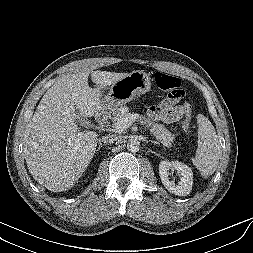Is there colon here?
<instances>
[{"mask_svg": "<svg viewBox=\"0 0 253 253\" xmlns=\"http://www.w3.org/2000/svg\"><path fill=\"white\" fill-rule=\"evenodd\" d=\"M155 83L160 89L165 90V91H169V93H170L169 96H171L173 98L180 99L184 95L181 81L176 76H172V75L166 74L164 72H157L155 74ZM183 106L185 107L186 116H187L190 111V107L187 103H185ZM184 126L186 128L190 127V120L188 117H186V119L184 121Z\"/></svg>", "mask_w": 253, "mask_h": 253, "instance_id": "colon-1", "label": "colon"}]
</instances>
